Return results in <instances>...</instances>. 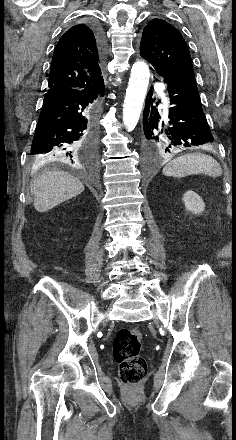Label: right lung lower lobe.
I'll use <instances>...</instances> for the list:
<instances>
[{"instance_id":"right-lung-lower-lobe-1","label":"right lung lower lobe","mask_w":236,"mask_h":440,"mask_svg":"<svg viewBox=\"0 0 236 440\" xmlns=\"http://www.w3.org/2000/svg\"><path fill=\"white\" fill-rule=\"evenodd\" d=\"M105 57L102 30L90 25ZM105 86L103 79L83 89L47 92L32 141L30 155L45 161H64L92 172L97 162V117Z\"/></svg>"}]
</instances>
